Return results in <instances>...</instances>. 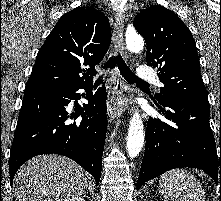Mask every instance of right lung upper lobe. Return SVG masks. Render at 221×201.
Here are the masks:
<instances>
[{"label": "right lung upper lobe", "instance_id": "right-lung-upper-lobe-1", "mask_svg": "<svg viewBox=\"0 0 221 201\" xmlns=\"http://www.w3.org/2000/svg\"><path fill=\"white\" fill-rule=\"evenodd\" d=\"M110 43V24L103 13L84 7L69 11L40 48L26 88L92 82L95 65L102 61Z\"/></svg>", "mask_w": 221, "mask_h": 201}]
</instances>
